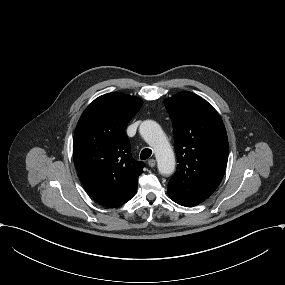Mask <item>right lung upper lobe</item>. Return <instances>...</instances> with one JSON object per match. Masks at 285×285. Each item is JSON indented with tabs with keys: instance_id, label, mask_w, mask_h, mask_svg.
<instances>
[{
	"instance_id": "obj_1",
	"label": "right lung upper lobe",
	"mask_w": 285,
	"mask_h": 285,
	"mask_svg": "<svg viewBox=\"0 0 285 285\" xmlns=\"http://www.w3.org/2000/svg\"><path fill=\"white\" fill-rule=\"evenodd\" d=\"M143 101L113 92L95 99L75 129L73 158L88 193L106 207H117L136 193L145 164L135 161L125 129Z\"/></svg>"
}]
</instances>
